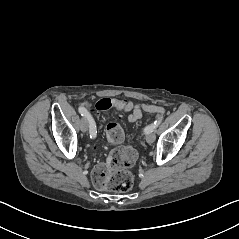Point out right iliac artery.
<instances>
[{
    "instance_id": "obj_1",
    "label": "right iliac artery",
    "mask_w": 239,
    "mask_h": 239,
    "mask_svg": "<svg viewBox=\"0 0 239 239\" xmlns=\"http://www.w3.org/2000/svg\"><path fill=\"white\" fill-rule=\"evenodd\" d=\"M79 113L84 116L85 118H87V120L90 123V137L91 138H95L96 137V125L92 119V117L90 116V114L88 113V111L84 108V107H79Z\"/></svg>"
}]
</instances>
